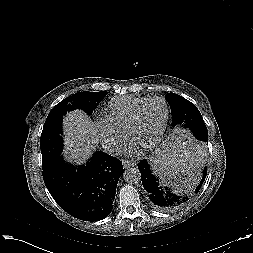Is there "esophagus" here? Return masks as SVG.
Returning <instances> with one entry per match:
<instances>
[{"instance_id":"esophagus-1","label":"esophagus","mask_w":253,"mask_h":253,"mask_svg":"<svg viewBox=\"0 0 253 253\" xmlns=\"http://www.w3.org/2000/svg\"><path fill=\"white\" fill-rule=\"evenodd\" d=\"M136 165V163L134 162V161H132V160H123V167L125 168V169H128V168H130V167H133V166H135Z\"/></svg>"}]
</instances>
